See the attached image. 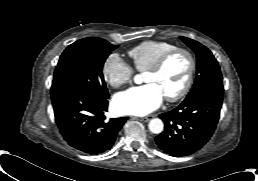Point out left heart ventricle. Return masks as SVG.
I'll return each instance as SVG.
<instances>
[{
    "instance_id": "1",
    "label": "left heart ventricle",
    "mask_w": 258,
    "mask_h": 181,
    "mask_svg": "<svg viewBox=\"0 0 258 181\" xmlns=\"http://www.w3.org/2000/svg\"><path fill=\"white\" fill-rule=\"evenodd\" d=\"M189 61L183 54L173 56L158 73L146 72L144 82L156 84L164 96L177 93L184 85Z\"/></svg>"
}]
</instances>
